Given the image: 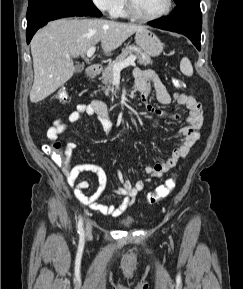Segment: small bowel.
Listing matches in <instances>:
<instances>
[{"label":"small bowel","mask_w":243,"mask_h":289,"mask_svg":"<svg viewBox=\"0 0 243 289\" xmlns=\"http://www.w3.org/2000/svg\"><path fill=\"white\" fill-rule=\"evenodd\" d=\"M134 87L141 94V99L145 103L146 111L155 117L153 126H157L158 120L167 118L177 121L181 118L178 111L167 113L161 111L146 102V99L152 89L156 93V99L161 105H168L172 102L186 108L185 121L187 125L181 129V143L173 150L171 155L161 163L147 166L145 172L148 178L139 180L135 184L125 180L120 171L117 172L118 180L121 185L113 191L115 195L123 197L120 203L102 204L99 200L103 197L106 186V175L104 171L93 163H82L70 167V161L73 150L77 147L76 142L69 141L65 147V164L63 172L66 176L68 185L73 188L76 199L104 215L117 217L121 215L134 203L138 193L154 179L161 178L164 173L172 170L180 160L184 159L191 147L200 137V128L202 126V107L201 104L192 95L182 92L170 94L160 80L157 74L151 69L134 70ZM84 115L95 116L102 126L103 131L109 135L113 131V122L108 114L106 105L101 100H93L88 104H78L66 119L57 118L47 130V137L51 143L59 142V137L68 129L69 124L78 122ZM82 172H92L96 174L99 186L92 195H87L85 191L89 188V183L85 180H79Z\"/></svg>","instance_id":"1"}]
</instances>
